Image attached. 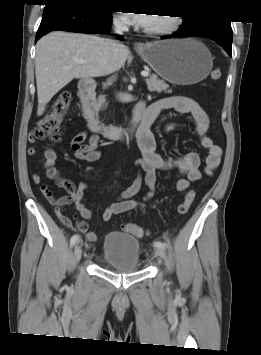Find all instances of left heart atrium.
<instances>
[{"label":"left heart atrium","instance_id":"obj_1","mask_svg":"<svg viewBox=\"0 0 261 355\" xmlns=\"http://www.w3.org/2000/svg\"><path fill=\"white\" fill-rule=\"evenodd\" d=\"M127 21L136 26L147 27L151 20V15L149 13H126Z\"/></svg>","mask_w":261,"mask_h":355}]
</instances>
